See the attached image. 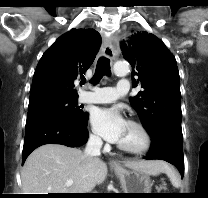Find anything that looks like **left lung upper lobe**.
<instances>
[{"label":"left lung upper lobe","instance_id":"5c2ea615","mask_svg":"<svg viewBox=\"0 0 208 198\" xmlns=\"http://www.w3.org/2000/svg\"><path fill=\"white\" fill-rule=\"evenodd\" d=\"M122 54L132 66V81L143 90L130 98L150 137L171 132L180 138L181 93L175 57L155 35L146 31L131 36L129 45L121 43Z\"/></svg>","mask_w":208,"mask_h":198}]
</instances>
